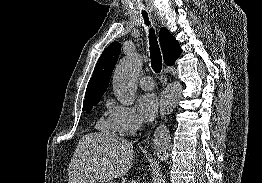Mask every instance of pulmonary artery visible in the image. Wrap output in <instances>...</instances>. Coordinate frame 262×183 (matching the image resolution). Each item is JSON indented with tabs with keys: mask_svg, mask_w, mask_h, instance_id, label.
<instances>
[{
	"mask_svg": "<svg viewBox=\"0 0 262 183\" xmlns=\"http://www.w3.org/2000/svg\"><path fill=\"white\" fill-rule=\"evenodd\" d=\"M139 84L144 90H152L155 86L154 80L151 76H143L140 79Z\"/></svg>",
	"mask_w": 262,
	"mask_h": 183,
	"instance_id": "e3ab8cb5",
	"label": "pulmonary artery"
}]
</instances>
